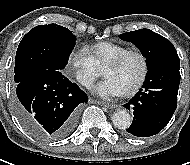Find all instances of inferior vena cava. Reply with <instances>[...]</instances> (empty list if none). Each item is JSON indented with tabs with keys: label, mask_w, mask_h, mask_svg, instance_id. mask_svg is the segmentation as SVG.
Instances as JSON below:
<instances>
[{
	"label": "inferior vena cava",
	"mask_w": 190,
	"mask_h": 165,
	"mask_svg": "<svg viewBox=\"0 0 190 165\" xmlns=\"http://www.w3.org/2000/svg\"><path fill=\"white\" fill-rule=\"evenodd\" d=\"M81 83H82L83 85H87L89 82H88L87 80H81Z\"/></svg>",
	"instance_id": "inferior-vena-cava-1"
}]
</instances>
